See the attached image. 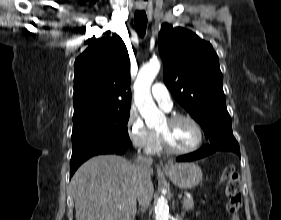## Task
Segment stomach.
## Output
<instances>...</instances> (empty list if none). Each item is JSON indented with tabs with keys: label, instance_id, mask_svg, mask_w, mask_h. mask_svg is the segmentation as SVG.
Wrapping results in <instances>:
<instances>
[{
	"label": "stomach",
	"instance_id": "obj_1",
	"mask_svg": "<svg viewBox=\"0 0 281 220\" xmlns=\"http://www.w3.org/2000/svg\"><path fill=\"white\" fill-rule=\"evenodd\" d=\"M164 172L177 187L182 189H192L202 181V170L193 162L173 163Z\"/></svg>",
	"mask_w": 281,
	"mask_h": 220
}]
</instances>
